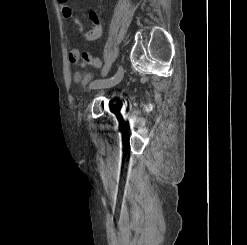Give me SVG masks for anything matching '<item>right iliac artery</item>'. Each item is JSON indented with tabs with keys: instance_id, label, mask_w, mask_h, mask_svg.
<instances>
[{
	"instance_id": "right-iliac-artery-1",
	"label": "right iliac artery",
	"mask_w": 247,
	"mask_h": 245,
	"mask_svg": "<svg viewBox=\"0 0 247 245\" xmlns=\"http://www.w3.org/2000/svg\"><path fill=\"white\" fill-rule=\"evenodd\" d=\"M112 59H107V61L104 63V66H103V68H102V76H101V80L102 81H106L107 80V77L106 76H108V71H109V69H110V66H111V64H112ZM92 87H98V85H99V81L98 80H95L94 82H92Z\"/></svg>"
}]
</instances>
